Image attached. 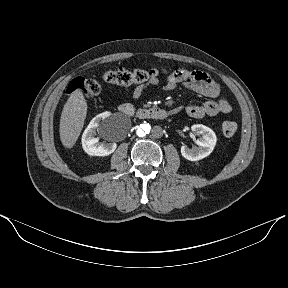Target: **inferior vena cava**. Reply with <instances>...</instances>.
Instances as JSON below:
<instances>
[{
	"mask_svg": "<svg viewBox=\"0 0 288 288\" xmlns=\"http://www.w3.org/2000/svg\"><path fill=\"white\" fill-rule=\"evenodd\" d=\"M164 135V129L161 126H155L153 127L152 131H151V136L154 139H159L161 137H163Z\"/></svg>",
	"mask_w": 288,
	"mask_h": 288,
	"instance_id": "obj_1",
	"label": "inferior vena cava"
}]
</instances>
